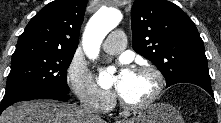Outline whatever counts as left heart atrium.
<instances>
[{
    "label": "left heart atrium",
    "mask_w": 221,
    "mask_h": 123,
    "mask_svg": "<svg viewBox=\"0 0 221 123\" xmlns=\"http://www.w3.org/2000/svg\"><path fill=\"white\" fill-rule=\"evenodd\" d=\"M130 73H131V70H129V69L126 68V67H122V68L120 69L119 74H118L119 80L122 81V80L125 79Z\"/></svg>",
    "instance_id": "39dd6f15"
}]
</instances>
